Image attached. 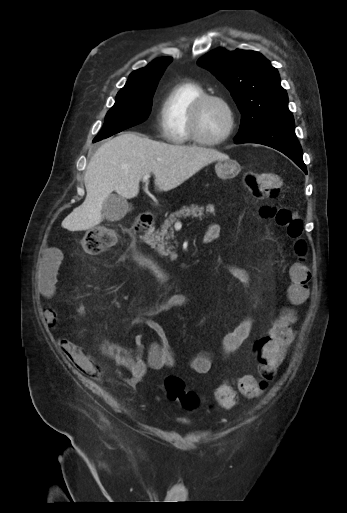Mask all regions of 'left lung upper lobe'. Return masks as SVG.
I'll list each match as a JSON object with an SVG mask.
<instances>
[{"label":"left lung upper lobe","mask_w":347,"mask_h":513,"mask_svg":"<svg viewBox=\"0 0 347 513\" xmlns=\"http://www.w3.org/2000/svg\"><path fill=\"white\" fill-rule=\"evenodd\" d=\"M198 64L226 86L241 112L235 141L270 125L294 123L278 71L260 53L218 48L200 58Z\"/></svg>","instance_id":"5c2ea615"}]
</instances>
